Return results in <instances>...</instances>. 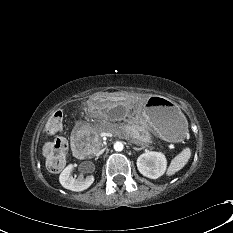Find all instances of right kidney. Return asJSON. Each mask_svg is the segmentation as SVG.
I'll return each mask as SVG.
<instances>
[{
    "label": "right kidney",
    "mask_w": 233,
    "mask_h": 233,
    "mask_svg": "<svg viewBox=\"0 0 233 233\" xmlns=\"http://www.w3.org/2000/svg\"><path fill=\"white\" fill-rule=\"evenodd\" d=\"M74 166L72 164H69L60 174L59 181L61 185L69 190L80 192L88 187L91 186V184L94 182V177L89 176L87 178H83V176H79L77 179H75L72 176Z\"/></svg>",
    "instance_id": "right-kidney-1"
}]
</instances>
